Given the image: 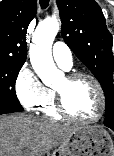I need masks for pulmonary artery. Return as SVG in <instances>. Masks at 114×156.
<instances>
[{
    "label": "pulmonary artery",
    "instance_id": "pulmonary-artery-1",
    "mask_svg": "<svg viewBox=\"0 0 114 156\" xmlns=\"http://www.w3.org/2000/svg\"><path fill=\"white\" fill-rule=\"evenodd\" d=\"M52 55L54 61L63 69L68 70L72 66V53L69 47L63 42H56L53 45Z\"/></svg>",
    "mask_w": 114,
    "mask_h": 156
}]
</instances>
